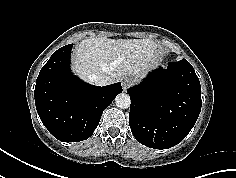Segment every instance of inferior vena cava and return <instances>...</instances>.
Segmentation results:
<instances>
[{
  "instance_id": "obj_1",
  "label": "inferior vena cava",
  "mask_w": 236,
  "mask_h": 178,
  "mask_svg": "<svg viewBox=\"0 0 236 178\" xmlns=\"http://www.w3.org/2000/svg\"><path fill=\"white\" fill-rule=\"evenodd\" d=\"M89 80L98 86H106L111 83V79L106 75H91Z\"/></svg>"
}]
</instances>
